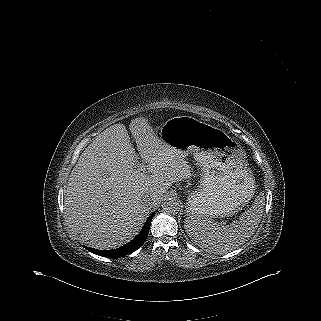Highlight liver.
I'll return each instance as SVG.
<instances>
[{"label":"liver","mask_w":321,"mask_h":321,"mask_svg":"<svg viewBox=\"0 0 321 321\" xmlns=\"http://www.w3.org/2000/svg\"><path fill=\"white\" fill-rule=\"evenodd\" d=\"M99 134L80 155L64 194V214L81 242L112 249L133 239L173 183L190 177L187 162L167 146L144 117ZM139 159L147 173L139 170ZM151 197L153 205L145 200Z\"/></svg>","instance_id":"6515ba94"}]
</instances>
